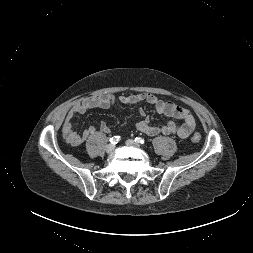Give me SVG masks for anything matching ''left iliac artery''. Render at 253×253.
<instances>
[{
  "label": "left iliac artery",
  "mask_w": 253,
  "mask_h": 253,
  "mask_svg": "<svg viewBox=\"0 0 253 253\" xmlns=\"http://www.w3.org/2000/svg\"><path fill=\"white\" fill-rule=\"evenodd\" d=\"M135 142L136 143H140V144H145V140L143 138H141V137L135 138Z\"/></svg>",
  "instance_id": "44dca946"
}]
</instances>
